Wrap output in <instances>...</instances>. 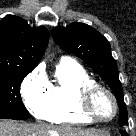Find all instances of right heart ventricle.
<instances>
[{"label": "right heart ventricle", "instance_id": "right-heart-ventricle-1", "mask_svg": "<svg viewBox=\"0 0 136 136\" xmlns=\"http://www.w3.org/2000/svg\"><path fill=\"white\" fill-rule=\"evenodd\" d=\"M94 83L89 74L72 60H61L55 83L50 84L51 102L43 119L57 124H89L79 105L80 90Z\"/></svg>", "mask_w": 136, "mask_h": 136}]
</instances>
